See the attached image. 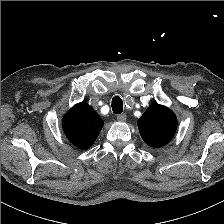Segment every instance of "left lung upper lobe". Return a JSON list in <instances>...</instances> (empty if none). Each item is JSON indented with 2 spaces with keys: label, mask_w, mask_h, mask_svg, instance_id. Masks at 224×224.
<instances>
[{
  "label": "left lung upper lobe",
  "mask_w": 224,
  "mask_h": 224,
  "mask_svg": "<svg viewBox=\"0 0 224 224\" xmlns=\"http://www.w3.org/2000/svg\"><path fill=\"white\" fill-rule=\"evenodd\" d=\"M137 124L147 145L161 147L173 138L177 129V118L169 108L153 103L138 119Z\"/></svg>",
  "instance_id": "left-lung-upper-lobe-1"
}]
</instances>
